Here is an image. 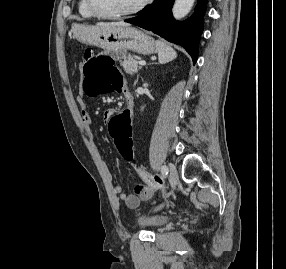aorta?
<instances>
[{
    "instance_id": "762f6f07",
    "label": "aorta",
    "mask_w": 286,
    "mask_h": 269,
    "mask_svg": "<svg viewBox=\"0 0 286 269\" xmlns=\"http://www.w3.org/2000/svg\"><path fill=\"white\" fill-rule=\"evenodd\" d=\"M195 0H175L172 13L175 19L184 18L192 9Z\"/></svg>"
}]
</instances>
